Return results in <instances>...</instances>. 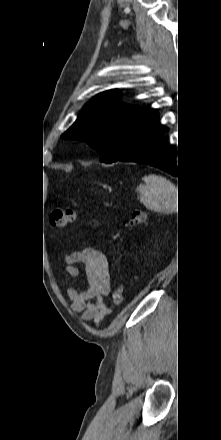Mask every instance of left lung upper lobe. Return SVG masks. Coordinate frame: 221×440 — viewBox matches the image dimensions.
I'll return each mask as SVG.
<instances>
[{"mask_svg": "<svg viewBox=\"0 0 221 440\" xmlns=\"http://www.w3.org/2000/svg\"><path fill=\"white\" fill-rule=\"evenodd\" d=\"M148 110L123 104L119 90H108L87 103L62 138L85 141L101 155L100 162H116L126 151L130 137Z\"/></svg>", "mask_w": 221, "mask_h": 440, "instance_id": "left-lung-upper-lobe-1", "label": "left lung upper lobe"}]
</instances>
